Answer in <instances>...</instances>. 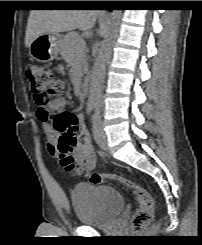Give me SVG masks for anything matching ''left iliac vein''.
<instances>
[{
    "instance_id": "1",
    "label": "left iliac vein",
    "mask_w": 202,
    "mask_h": 245,
    "mask_svg": "<svg viewBox=\"0 0 202 245\" xmlns=\"http://www.w3.org/2000/svg\"><path fill=\"white\" fill-rule=\"evenodd\" d=\"M93 136L95 142L100 148L103 150H108L107 133L104 130L103 123L98 118H96L93 122Z\"/></svg>"
}]
</instances>
